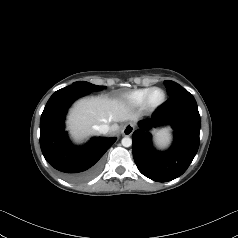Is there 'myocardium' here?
Here are the masks:
<instances>
[{
  "mask_svg": "<svg viewBox=\"0 0 238 238\" xmlns=\"http://www.w3.org/2000/svg\"><path fill=\"white\" fill-rule=\"evenodd\" d=\"M155 91H160L162 93V99L158 103H153L152 100H151L152 95ZM166 98H167L166 92L162 88L153 87L148 92L143 105L147 110L155 111V110L159 109L166 102Z\"/></svg>",
  "mask_w": 238,
  "mask_h": 238,
  "instance_id": "f54148a6",
  "label": "myocardium"
}]
</instances>
